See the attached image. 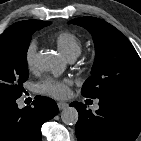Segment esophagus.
Here are the masks:
<instances>
[{"instance_id":"obj_1","label":"esophagus","mask_w":141,"mask_h":141,"mask_svg":"<svg viewBox=\"0 0 141 141\" xmlns=\"http://www.w3.org/2000/svg\"><path fill=\"white\" fill-rule=\"evenodd\" d=\"M57 105L59 110H64L68 107V104L66 102H58Z\"/></svg>"}]
</instances>
